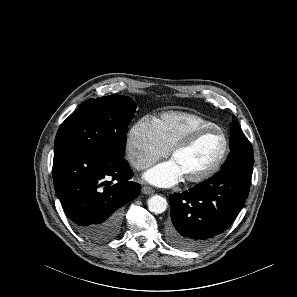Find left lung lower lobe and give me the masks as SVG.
<instances>
[{"mask_svg":"<svg viewBox=\"0 0 297 297\" xmlns=\"http://www.w3.org/2000/svg\"><path fill=\"white\" fill-rule=\"evenodd\" d=\"M252 171L224 169L188 191L172 194L168 242L182 250H197L228 229L244 207Z\"/></svg>","mask_w":297,"mask_h":297,"instance_id":"obj_1","label":"left lung lower lobe"}]
</instances>
